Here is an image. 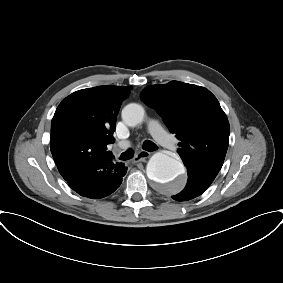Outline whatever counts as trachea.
<instances>
[{
    "mask_svg": "<svg viewBox=\"0 0 283 283\" xmlns=\"http://www.w3.org/2000/svg\"><path fill=\"white\" fill-rule=\"evenodd\" d=\"M143 149L146 151H155L158 147L152 141L146 140L143 143ZM134 153L132 150H127L120 155V160H129L133 157Z\"/></svg>",
    "mask_w": 283,
    "mask_h": 283,
    "instance_id": "obj_1",
    "label": "trachea"
}]
</instances>
